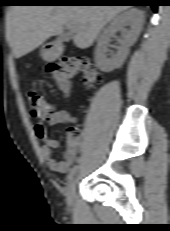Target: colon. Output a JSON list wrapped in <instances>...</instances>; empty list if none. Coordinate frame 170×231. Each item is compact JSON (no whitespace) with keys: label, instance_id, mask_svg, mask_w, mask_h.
Returning <instances> with one entry per match:
<instances>
[{"label":"colon","instance_id":"5ec220e1","mask_svg":"<svg viewBox=\"0 0 170 231\" xmlns=\"http://www.w3.org/2000/svg\"><path fill=\"white\" fill-rule=\"evenodd\" d=\"M47 71L58 88L64 93L69 91L71 79L77 75L86 87H93L102 81V75L97 67L88 59L78 56L62 57L49 64ZM28 102L31 114L36 118H47L53 113L50 104L37 92L28 94ZM79 137V128L74 126L68 128L66 135L68 145L75 143L79 140Z\"/></svg>","mask_w":170,"mask_h":231}]
</instances>
